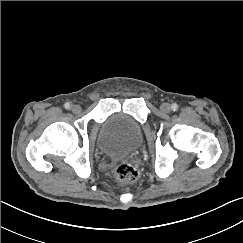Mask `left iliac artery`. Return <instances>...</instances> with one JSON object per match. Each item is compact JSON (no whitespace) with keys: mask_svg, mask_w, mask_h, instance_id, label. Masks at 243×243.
<instances>
[{"mask_svg":"<svg viewBox=\"0 0 243 243\" xmlns=\"http://www.w3.org/2000/svg\"><path fill=\"white\" fill-rule=\"evenodd\" d=\"M171 108L173 111H176V110H178V105L176 103H173Z\"/></svg>","mask_w":243,"mask_h":243,"instance_id":"44dca946","label":"left iliac artery"}]
</instances>
